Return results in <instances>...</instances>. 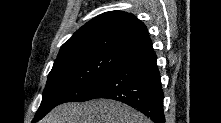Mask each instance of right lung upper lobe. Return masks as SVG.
Masks as SVG:
<instances>
[{
	"instance_id": "obj_1",
	"label": "right lung upper lobe",
	"mask_w": 221,
	"mask_h": 123,
	"mask_svg": "<svg viewBox=\"0 0 221 123\" xmlns=\"http://www.w3.org/2000/svg\"><path fill=\"white\" fill-rule=\"evenodd\" d=\"M85 49H109L130 57L153 48L142 21L130 13L110 11L75 32L61 46L58 57Z\"/></svg>"
}]
</instances>
